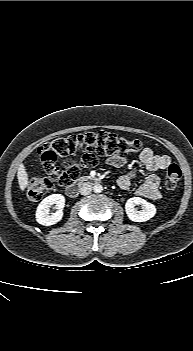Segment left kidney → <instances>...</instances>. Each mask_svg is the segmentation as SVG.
I'll return each mask as SVG.
<instances>
[{
	"label": "left kidney",
	"mask_w": 193,
	"mask_h": 351,
	"mask_svg": "<svg viewBox=\"0 0 193 351\" xmlns=\"http://www.w3.org/2000/svg\"><path fill=\"white\" fill-rule=\"evenodd\" d=\"M136 205H141V210L135 208ZM125 211L128 218L133 222H145L154 217L156 207L140 197H132L125 204Z\"/></svg>",
	"instance_id": "5707ae66"
}]
</instances>
